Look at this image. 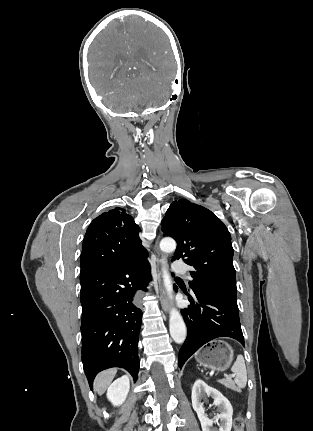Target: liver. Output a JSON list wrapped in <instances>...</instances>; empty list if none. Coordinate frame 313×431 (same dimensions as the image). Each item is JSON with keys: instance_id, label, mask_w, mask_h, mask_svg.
Masks as SVG:
<instances>
[{"instance_id": "6515ba94", "label": "liver", "mask_w": 313, "mask_h": 431, "mask_svg": "<svg viewBox=\"0 0 313 431\" xmlns=\"http://www.w3.org/2000/svg\"><path fill=\"white\" fill-rule=\"evenodd\" d=\"M116 369H109L101 372L95 379V390L99 395H102L110 385L116 375Z\"/></svg>"}]
</instances>
